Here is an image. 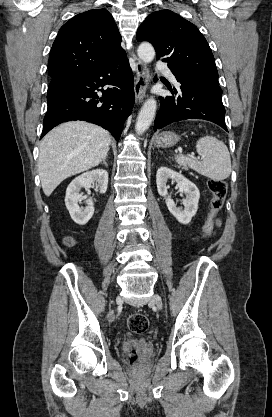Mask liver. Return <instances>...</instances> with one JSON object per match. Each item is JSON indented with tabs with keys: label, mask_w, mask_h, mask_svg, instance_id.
Returning a JSON list of instances; mask_svg holds the SVG:
<instances>
[{
	"label": "liver",
	"mask_w": 272,
	"mask_h": 417,
	"mask_svg": "<svg viewBox=\"0 0 272 417\" xmlns=\"http://www.w3.org/2000/svg\"><path fill=\"white\" fill-rule=\"evenodd\" d=\"M110 144L109 132L91 123L72 121L55 127L40 143L38 171L44 194L50 196L68 177L99 165Z\"/></svg>",
	"instance_id": "6515ba94"
}]
</instances>
